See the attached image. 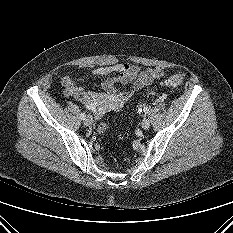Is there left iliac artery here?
<instances>
[{
    "instance_id": "left-iliac-artery-1",
    "label": "left iliac artery",
    "mask_w": 233,
    "mask_h": 233,
    "mask_svg": "<svg viewBox=\"0 0 233 233\" xmlns=\"http://www.w3.org/2000/svg\"><path fill=\"white\" fill-rule=\"evenodd\" d=\"M144 113L148 114L149 113V109L147 107L144 108Z\"/></svg>"
}]
</instances>
